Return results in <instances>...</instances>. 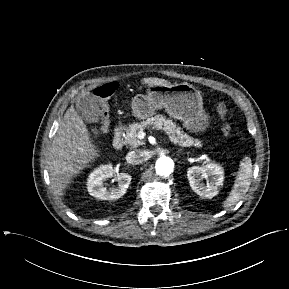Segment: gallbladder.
Returning a JSON list of instances; mask_svg holds the SVG:
<instances>
[{
    "mask_svg": "<svg viewBox=\"0 0 289 289\" xmlns=\"http://www.w3.org/2000/svg\"><path fill=\"white\" fill-rule=\"evenodd\" d=\"M76 109L86 122L97 123L100 120L101 110L92 94H86L81 97L77 101Z\"/></svg>",
    "mask_w": 289,
    "mask_h": 289,
    "instance_id": "1",
    "label": "gallbladder"
}]
</instances>
